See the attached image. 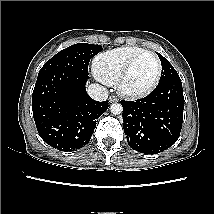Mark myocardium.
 <instances>
[{
    "instance_id": "obj_1",
    "label": "myocardium",
    "mask_w": 214,
    "mask_h": 214,
    "mask_svg": "<svg viewBox=\"0 0 214 214\" xmlns=\"http://www.w3.org/2000/svg\"><path fill=\"white\" fill-rule=\"evenodd\" d=\"M152 55L157 63V72H156V76L153 80V82L145 89L142 90H138V91H133V90H129L126 88L125 84L126 81L134 67V65L136 64V62L143 57L144 55ZM162 75V63L158 57V55L152 51L149 50H144L141 53L137 54L136 56H134L125 66V68L123 69L122 73L120 74L118 81H117V90L119 92L120 95L127 97V98H132V99H136V98H142L145 97L147 95H149L151 92H153V90L157 87L160 78Z\"/></svg>"
}]
</instances>
